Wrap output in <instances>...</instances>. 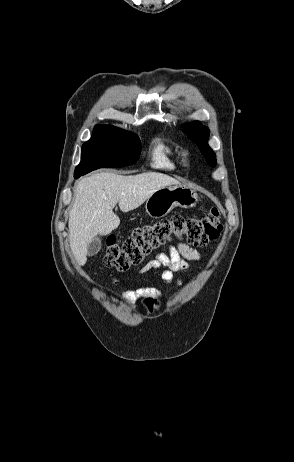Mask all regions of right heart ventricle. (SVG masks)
Segmentation results:
<instances>
[{"label":"right heart ventricle","mask_w":294,"mask_h":462,"mask_svg":"<svg viewBox=\"0 0 294 462\" xmlns=\"http://www.w3.org/2000/svg\"><path fill=\"white\" fill-rule=\"evenodd\" d=\"M150 160L152 167L172 171L183 160V155L178 149L169 146L162 139L157 138L151 149Z\"/></svg>","instance_id":"1"}]
</instances>
